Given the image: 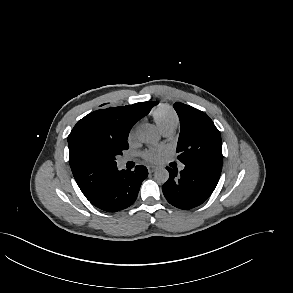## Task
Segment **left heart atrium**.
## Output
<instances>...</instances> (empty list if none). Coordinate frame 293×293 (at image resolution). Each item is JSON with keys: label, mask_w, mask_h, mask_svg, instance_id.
<instances>
[{"label": "left heart atrium", "mask_w": 293, "mask_h": 293, "mask_svg": "<svg viewBox=\"0 0 293 293\" xmlns=\"http://www.w3.org/2000/svg\"><path fill=\"white\" fill-rule=\"evenodd\" d=\"M164 153V149L161 148H153L149 149L144 153V158L150 162H155L157 161L160 156Z\"/></svg>", "instance_id": "left-heart-atrium-1"}]
</instances>
